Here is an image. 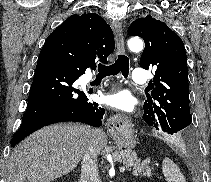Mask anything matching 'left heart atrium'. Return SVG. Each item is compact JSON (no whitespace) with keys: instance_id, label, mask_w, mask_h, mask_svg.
I'll return each mask as SVG.
<instances>
[{"instance_id":"left-heart-atrium-1","label":"left heart atrium","mask_w":211,"mask_h":182,"mask_svg":"<svg viewBox=\"0 0 211 182\" xmlns=\"http://www.w3.org/2000/svg\"><path fill=\"white\" fill-rule=\"evenodd\" d=\"M106 103L117 110L131 111L132 110V99L125 92H119L109 95L105 99Z\"/></svg>"}]
</instances>
